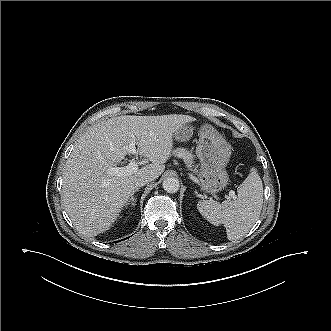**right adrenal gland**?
<instances>
[{
  "label": "right adrenal gland",
  "instance_id": "2a0ac1e0",
  "mask_svg": "<svg viewBox=\"0 0 331 331\" xmlns=\"http://www.w3.org/2000/svg\"><path fill=\"white\" fill-rule=\"evenodd\" d=\"M139 189H140V188H138V187H134L133 190H132L131 196H130L129 201H128V202H131L132 205H135V204H136V198L134 197V194H135Z\"/></svg>",
  "mask_w": 331,
  "mask_h": 331
}]
</instances>
